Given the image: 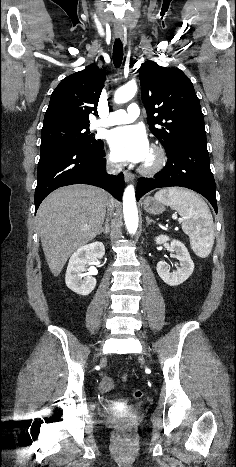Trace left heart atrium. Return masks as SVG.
<instances>
[{"label":"left heart atrium","instance_id":"left-heart-atrium-1","mask_svg":"<svg viewBox=\"0 0 236 467\" xmlns=\"http://www.w3.org/2000/svg\"><path fill=\"white\" fill-rule=\"evenodd\" d=\"M109 144L115 160L144 162L150 154V146L143 128L135 125L120 126L109 134Z\"/></svg>","mask_w":236,"mask_h":467}]
</instances>
